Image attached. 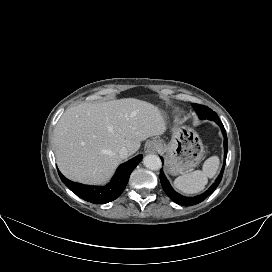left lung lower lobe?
<instances>
[{"mask_svg":"<svg viewBox=\"0 0 272 272\" xmlns=\"http://www.w3.org/2000/svg\"><path fill=\"white\" fill-rule=\"evenodd\" d=\"M210 120L215 121L221 127V130H222V133L224 136V164H223L222 171H221L220 175L217 177L215 183L202 195L195 196V197H185V196H182L179 193L175 192L174 189L171 187L169 181L167 180L166 176L164 175L163 171L161 170V172H160V181H161V185L163 187V190L165 191V193L168 195V197L172 201H174L175 203H177L179 205L191 206V205H195V204L202 202L217 188V186L219 185V183L222 179L223 171L225 168L226 157H227V150H228L226 131H225V128H224L222 122L218 118V116H214V117L210 118ZM161 160L163 162L162 158H161Z\"/></svg>","mask_w":272,"mask_h":272,"instance_id":"0a47b994","label":"left lung lower lobe"}]
</instances>
